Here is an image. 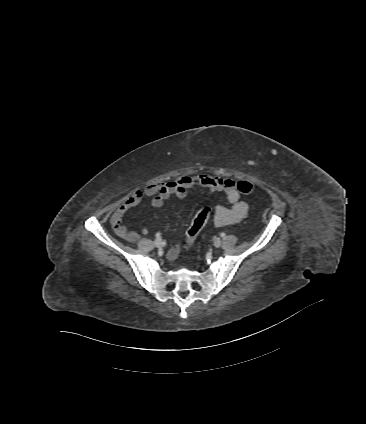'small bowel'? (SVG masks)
<instances>
[{
    "label": "small bowel",
    "instance_id": "obj_1",
    "mask_svg": "<svg viewBox=\"0 0 366 424\" xmlns=\"http://www.w3.org/2000/svg\"><path fill=\"white\" fill-rule=\"evenodd\" d=\"M237 182L232 178L210 174L186 175L174 180L151 184L143 191L137 190L127 195L118 208L114 211L110 223L113 231L127 242H137L140 235L136 231L127 229L123 224L124 214L131 208L141 203L143 197L151 199V206L161 208L171 196L185 198L194 187H204L213 192L221 193L230 203L229 207L217 205L214 209L213 223L216 227H225L238 223L244 219L249 210L247 202L241 200V193L237 188ZM143 234L147 235L149 229L144 228ZM180 252V245H175L168 253L170 260L175 259Z\"/></svg>",
    "mask_w": 366,
    "mask_h": 424
}]
</instances>
